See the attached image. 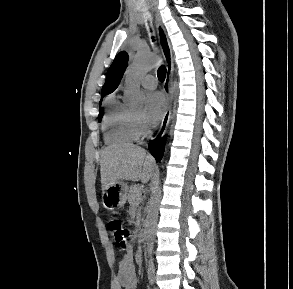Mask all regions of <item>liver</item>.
Returning <instances> with one entry per match:
<instances>
[{
    "label": "liver",
    "mask_w": 293,
    "mask_h": 289,
    "mask_svg": "<svg viewBox=\"0 0 293 289\" xmlns=\"http://www.w3.org/2000/svg\"><path fill=\"white\" fill-rule=\"evenodd\" d=\"M154 172V159L133 144L107 146L101 153L100 174L102 190L120 180L141 181L146 184Z\"/></svg>",
    "instance_id": "1"
}]
</instances>
